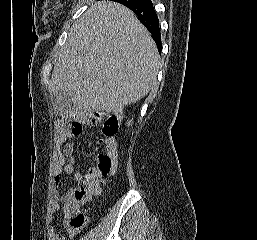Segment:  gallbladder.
<instances>
[{
	"label": "gallbladder",
	"instance_id": "gallbladder-1",
	"mask_svg": "<svg viewBox=\"0 0 257 240\" xmlns=\"http://www.w3.org/2000/svg\"><path fill=\"white\" fill-rule=\"evenodd\" d=\"M54 109L60 116L69 115L73 109V103L70 97L64 93H59L57 97H55Z\"/></svg>",
	"mask_w": 257,
	"mask_h": 240
}]
</instances>
